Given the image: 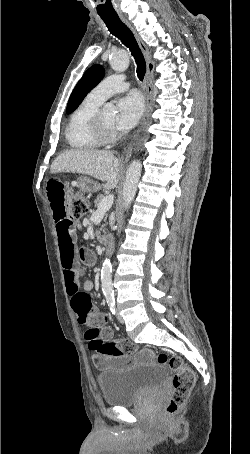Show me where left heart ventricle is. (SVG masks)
<instances>
[{"label":"left heart ventricle","instance_id":"1","mask_svg":"<svg viewBox=\"0 0 250 454\" xmlns=\"http://www.w3.org/2000/svg\"><path fill=\"white\" fill-rule=\"evenodd\" d=\"M101 119L108 128H114L115 115L109 112H101Z\"/></svg>","mask_w":250,"mask_h":454}]
</instances>
